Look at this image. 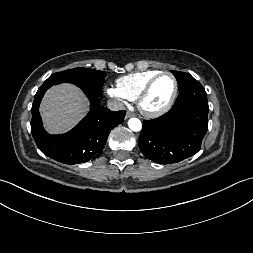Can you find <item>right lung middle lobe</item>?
<instances>
[{
  "instance_id": "dd1d6c3e",
  "label": "right lung middle lobe",
  "mask_w": 253,
  "mask_h": 253,
  "mask_svg": "<svg viewBox=\"0 0 253 253\" xmlns=\"http://www.w3.org/2000/svg\"><path fill=\"white\" fill-rule=\"evenodd\" d=\"M106 73L88 68H74L51 75L43 84L49 86L68 82L80 87L84 93L102 96V85Z\"/></svg>"
}]
</instances>
